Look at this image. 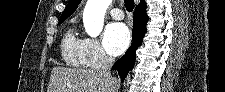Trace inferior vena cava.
<instances>
[{
	"label": "inferior vena cava",
	"mask_w": 225,
	"mask_h": 92,
	"mask_svg": "<svg viewBox=\"0 0 225 92\" xmlns=\"http://www.w3.org/2000/svg\"><path fill=\"white\" fill-rule=\"evenodd\" d=\"M101 61H102L101 70L105 73H109L110 69L112 68L114 64V61H115L114 58L106 54H103Z\"/></svg>",
	"instance_id": "inferior-vena-cava-1"
}]
</instances>
